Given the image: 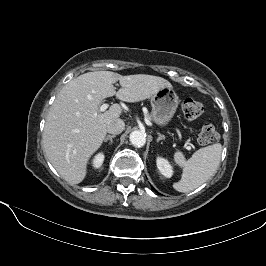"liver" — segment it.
I'll return each instance as SVG.
<instances>
[{
  "mask_svg": "<svg viewBox=\"0 0 266 266\" xmlns=\"http://www.w3.org/2000/svg\"><path fill=\"white\" fill-rule=\"evenodd\" d=\"M121 89L115 91L113 83ZM172 88L162 77L136 74L122 76L111 71L88 72L67 83L58 93L46 118L43 148L57 172L70 184H79L87 173L91 156L106 137L107 124L122 113L114 105L102 113L100 104L116 97L138 102L152 97L160 89Z\"/></svg>",
  "mask_w": 266,
  "mask_h": 266,
  "instance_id": "1",
  "label": "liver"
}]
</instances>
